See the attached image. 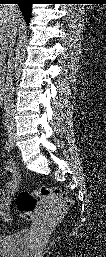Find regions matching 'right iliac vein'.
<instances>
[{
  "label": "right iliac vein",
  "mask_w": 106,
  "mask_h": 257,
  "mask_svg": "<svg viewBox=\"0 0 106 257\" xmlns=\"http://www.w3.org/2000/svg\"><path fill=\"white\" fill-rule=\"evenodd\" d=\"M9 140H10L11 145H13L14 144V137L12 135H9Z\"/></svg>",
  "instance_id": "63e3f726"
}]
</instances>
